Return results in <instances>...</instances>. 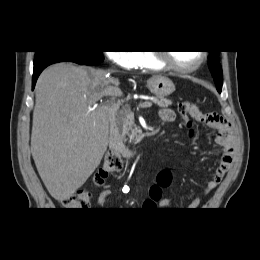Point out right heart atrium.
<instances>
[{
	"instance_id": "right-heart-atrium-1",
	"label": "right heart atrium",
	"mask_w": 260,
	"mask_h": 260,
	"mask_svg": "<svg viewBox=\"0 0 260 260\" xmlns=\"http://www.w3.org/2000/svg\"><path fill=\"white\" fill-rule=\"evenodd\" d=\"M108 56L114 64L124 69L134 68L139 58L136 51H111Z\"/></svg>"
}]
</instances>
